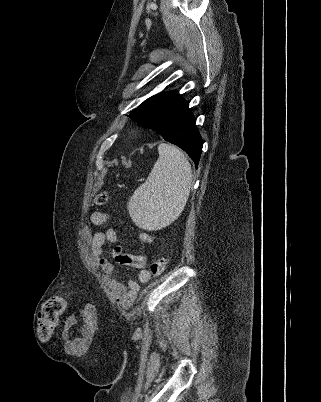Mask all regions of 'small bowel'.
Listing matches in <instances>:
<instances>
[{"label":"small bowel","instance_id":"small-bowel-1","mask_svg":"<svg viewBox=\"0 0 321 402\" xmlns=\"http://www.w3.org/2000/svg\"><path fill=\"white\" fill-rule=\"evenodd\" d=\"M110 220V216L104 211H94L90 216L91 224L95 227H102ZM139 238L144 243H151L152 238L145 232L139 234ZM118 234L113 228H107L102 232L94 234L92 245L95 254L100 262V266L107 276L110 286L114 292L117 302L125 309L132 306L140 291V285L150 281V273L146 269L147 257L143 254H128L123 252L119 245H115L111 252V257L118 264L136 268L138 270L137 278L128 282L122 281L115 265L109 258L103 256V246L106 242L116 243ZM79 313L82 315L81 326L78 328L79 338L67 337L65 347L73 358H82L91 345V335L94 329H97L98 322L96 310L93 303L83 302ZM78 318L76 315H68L63 322V327L67 333L69 329H75Z\"/></svg>","mask_w":321,"mask_h":402}]
</instances>
